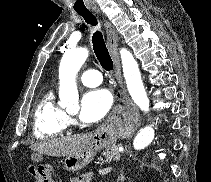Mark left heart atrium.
<instances>
[{
  "label": "left heart atrium",
  "instance_id": "39dd6f15",
  "mask_svg": "<svg viewBox=\"0 0 211 182\" xmlns=\"http://www.w3.org/2000/svg\"><path fill=\"white\" fill-rule=\"evenodd\" d=\"M112 103V95L106 89L87 91L82 98L80 119L85 123L98 122L109 112Z\"/></svg>",
  "mask_w": 211,
  "mask_h": 182
}]
</instances>
